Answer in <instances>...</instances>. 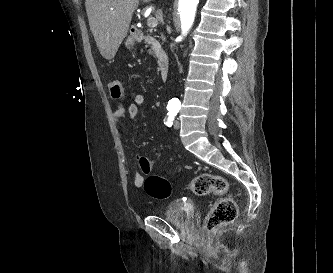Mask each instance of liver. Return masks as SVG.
<instances>
[{
    "mask_svg": "<svg viewBox=\"0 0 333 273\" xmlns=\"http://www.w3.org/2000/svg\"><path fill=\"white\" fill-rule=\"evenodd\" d=\"M152 0H142L149 3ZM139 0H86L90 29L100 54L107 60L116 55L126 37ZM113 8V10H112Z\"/></svg>",
    "mask_w": 333,
    "mask_h": 273,
    "instance_id": "liver-1",
    "label": "liver"
}]
</instances>
